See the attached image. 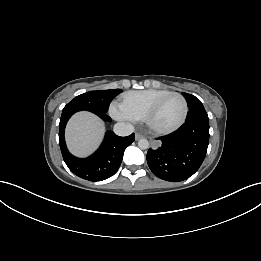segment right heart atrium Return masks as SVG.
I'll return each instance as SVG.
<instances>
[{"label":"right heart atrium","mask_w":261,"mask_h":261,"mask_svg":"<svg viewBox=\"0 0 261 261\" xmlns=\"http://www.w3.org/2000/svg\"><path fill=\"white\" fill-rule=\"evenodd\" d=\"M110 113L112 117H114L117 120H130L128 116L121 110L119 106L112 105L110 107Z\"/></svg>","instance_id":"d8ad5b80"}]
</instances>
